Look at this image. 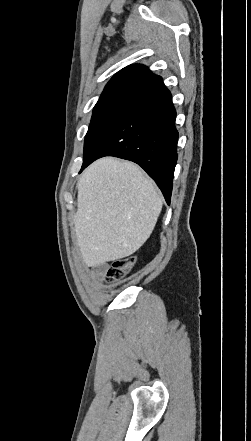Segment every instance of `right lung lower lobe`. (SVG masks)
<instances>
[{"label":"right lung lower lobe","mask_w":251,"mask_h":441,"mask_svg":"<svg viewBox=\"0 0 251 441\" xmlns=\"http://www.w3.org/2000/svg\"><path fill=\"white\" fill-rule=\"evenodd\" d=\"M175 118L171 93L162 82L107 129L83 161L81 171L103 156L133 161L156 182L170 204L177 162Z\"/></svg>","instance_id":"1"}]
</instances>
